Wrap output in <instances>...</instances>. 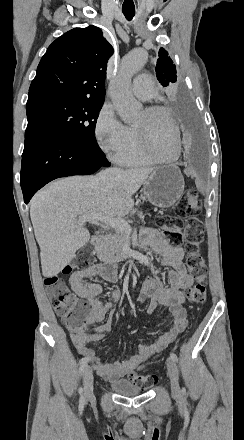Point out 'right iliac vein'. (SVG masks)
Here are the masks:
<instances>
[{"mask_svg": "<svg viewBox=\"0 0 244 440\" xmlns=\"http://www.w3.org/2000/svg\"><path fill=\"white\" fill-rule=\"evenodd\" d=\"M93 373L90 367H86L83 374L84 396L89 400L93 396Z\"/></svg>", "mask_w": 244, "mask_h": 440, "instance_id": "63e3f726", "label": "right iliac vein"}]
</instances>
